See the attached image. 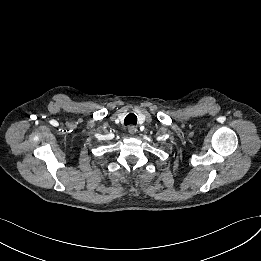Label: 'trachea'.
<instances>
[{"instance_id":"obj_1","label":"trachea","mask_w":261,"mask_h":261,"mask_svg":"<svg viewBox=\"0 0 261 261\" xmlns=\"http://www.w3.org/2000/svg\"><path fill=\"white\" fill-rule=\"evenodd\" d=\"M124 123H125V125H130V124L136 125L137 124V116L133 113L128 114L125 117Z\"/></svg>"}]
</instances>
